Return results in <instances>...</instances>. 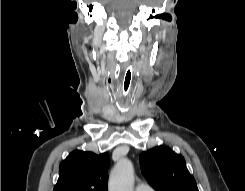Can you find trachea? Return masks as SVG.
I'll return each instance as SVG.
<instances>
[{
	"label": "trachea",
	"mask_w": 245,
	"mask_h": 191,
	"mask_svg": "<svg viewBox=\"0 0 245 191\" xmlns=\"http://www.w3.org/2000/svg\"><path fill=\"white\" fill-rule=\"evenodd\" d=\"M131 81H132V67L130 66L124 77H123V81H122V95L123 97H127V95L130 92V88H131Z\"/></svg>",
	"instance_id": "obj_1"
}]
</instances>
